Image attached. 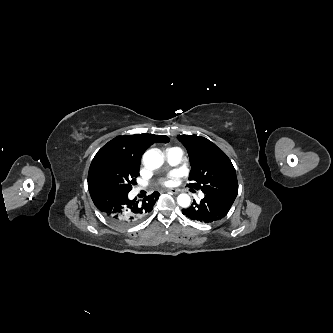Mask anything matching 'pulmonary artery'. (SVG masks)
Listing matches in <instances>:
<instances>
[{"instance_id":"pulmonary-artery-1","label":"pulmonary artery","mask_w":333,"mask_h":333,"mask_svg":"<svg viewBox=\"0 0 333 333\" xmlns=\"http://www.w3.org/2000/svg\"><path fill=\"white\" fill-rule=\"evenodd\" d=\"M165 156L169 165L176 166L181 163L183 159V152L180 148L177 147L169 148L166 150ZM199 197L204 198V194L200 193Z\"/></svg>"}]
</instances>
